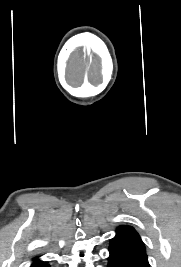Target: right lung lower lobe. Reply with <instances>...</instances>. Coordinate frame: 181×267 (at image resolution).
<instances>
[{
  "mask_svg": "<svg viewBox=\"0 0 181 267\" xmlns=\"http://www.w3.org/2000/svg\"><path fill=\"white\" fill-rule=\"evenodd\" d=\"M31 267H50L46 262H41L39 260H36L33 262Z\"/></svg>",
  "mask_w": 181,
  "mask_h": 267,
  "instance_id": "obj_1",
  "label": "right lung lower lobe"
}]
</instances>
